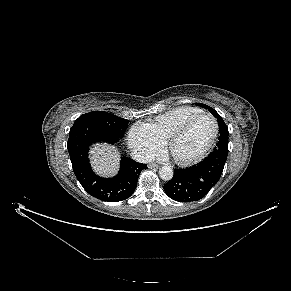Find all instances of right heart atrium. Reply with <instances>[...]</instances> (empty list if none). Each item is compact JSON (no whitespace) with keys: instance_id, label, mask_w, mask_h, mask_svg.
Wrapping results in <instances>:
<instances>
[{"instance_id":"1","label":"right heart atrium","mask_w":291,"mask_h":291,"mask_svg":"<svg viewBox=\"0 0 291 291\" xmlns=\"http://www.w3.org/2000/svg\"><path fill=\"white\" fill-rule=\"evenodd\" d=\"M129 146L141 158H148L159 150L161 143L150 135L143 127L134 126L128 134Z\"/></svg>"}]
</instances>
